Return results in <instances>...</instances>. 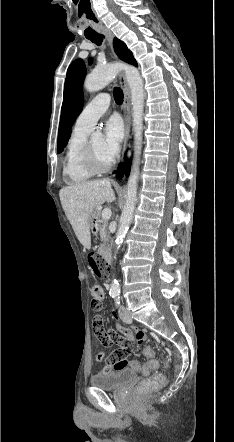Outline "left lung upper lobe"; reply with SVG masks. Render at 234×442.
Listing matches in <instances>:
<instances>
[{"label":"left lung upper lobe","mask_w":234,"mask_h":442,"mask_svg":"<svg viewBox=\"0 0 234 442\" xmlns=\"http://www.w3.org/2000/svg\"><path fill=\"white\" fill-rule=\"evenodd\" d=\"M114 48L119 58L137 66L131 51L119 39H114ZM92 63V60H89ZM86 76V66L82 59L74 60L68 70L64 85V97L58 133V153L63 151L71 135V128L83 107L82 85Z\"/></svg>","instance_id":"1"}]
</instances>
